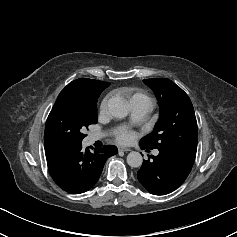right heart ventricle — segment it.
<instances>
[{"label": "right heart ventricle", "mask_w": 237, "mask_h": 237, "mask_svg": "<svg viewBox=\"0 0 237 237\" xmlns=\"http://www.w3.org/2000/svg\"><path fill=\"white\" fill-rule=\"evenodd\" d=\"M121 92L127 96L131 104L136 101H146L152 104L150 97L142 90L129 87L123 88Z\"/></svg>", "instance_id": "e07e8e85"}]
</instances>
